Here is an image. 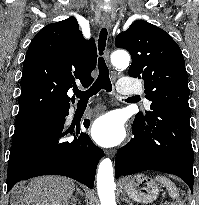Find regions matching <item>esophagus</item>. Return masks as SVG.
I'll use <instances>...</instances> for the list:
<instances>
[{"instance_id": "34e87169", "label": "esophagus", "mask_w": 199, "mask_h": 205, "mask_svg": "<svg viewBox=\"0 0 199 205\" xmlns=\"http://www.w3.org/2000/svg\"><path fill=\"white\" fill-rule=\"evenodd\" d=\"M101 25L103 27H109L110 26V19L108 17H102L101 18ZM105 58L108 60L109 58V49L106 50L105 52ZM106 155L114 157L116 154V150L115 149H109L105 151Z\"/></svg>"}]
</instances>
